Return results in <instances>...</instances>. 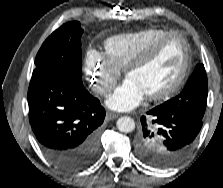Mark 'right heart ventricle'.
Listing matches in <instances>:
<instances>
[{"mask_svg":"<svg viewBox=\"0 0 223 188\" xmlns=\"http://www.w3.org/2000/svg\"><path fill=\"white\" fill-rule=\"evenodd\" d=\"M166 32L169 30L150 27L112 36L104 43L105 54L117 67L125 68L142 49Z\"/></svg>","mask_w":223,"mask_h":188,"instance_id":"right-heart-ventricle-1","label":"right heart ventricle"}]
</instances>
